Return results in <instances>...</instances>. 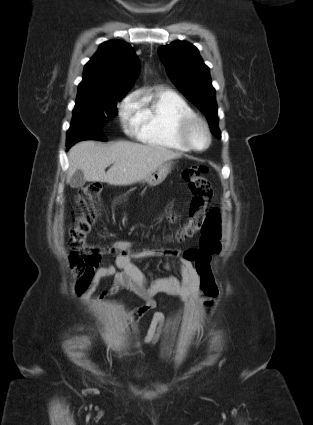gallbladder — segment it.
<instances>
[{
    "mask_svg": "<svg viewBox=\"0 0 313 425\" xmlns=\"http://www.w3.org/2000/svg\"><path fill=\"white\" fill-rule=\"evenodd\" d=\"M86 180L84 178L83 172L81 170L75 171L70 179V185L73 188L82 187L85 184Z\"/></svg>",
    "mask_w": 313,
    "mask_h": 425,
    "instance_id": "bac80fb5",
    "label": "gallbladder"
}]
</instances>
